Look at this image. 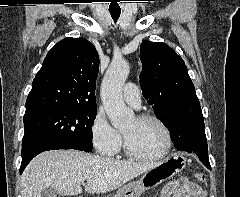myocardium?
Returning <instances> with one entry per match:
<instances>
[{
	"mask_svg": "<svg viewBox=\"0 0 240 197\" xmlns=\"http://www.w3.org/2000/svg\"><path fill=\"white\" fill-rule=\"evenodd\" d=\"M136 119L139 121H153V122L157 123L162 128V130L165 134V140H166L165 148L162 152H160L157 155H153V156L143 155V154L136 152L132 148L127 137L123 134L124 151H125L126 155L133 159H136V160L150 161V162L158 161V160L165 158L170 153V151L172 149V145H173L172 134H171V130L168 127V125L158 116H155L153 114H148V113L140 114L136 117Z\"/></svg>",
	"mask_w": 240,
	"mask_h": 197,
	"instance_id": "myocardium-1",
	"label": "myocardium"
}]
</instances>
